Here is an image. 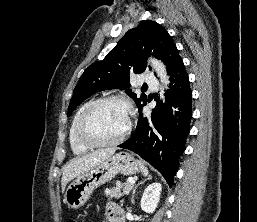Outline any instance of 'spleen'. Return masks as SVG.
<instances>
[{
  "instance_id": "1",
  "label": "spleen",
  "mask_w": 257,
  "mask_h": 222,
  "mask_svg": "<svg viewBox=\"0 0 257 222\" xmlns=\"http://www.w3.org/2000/svg\"><path fill=\"white\" fill-rule=\"evenodd\" d=\"M141 172L144 176H147L149 174L147 167H145L144 163L139 161Z\"/></svg>"
}]
</instances>
